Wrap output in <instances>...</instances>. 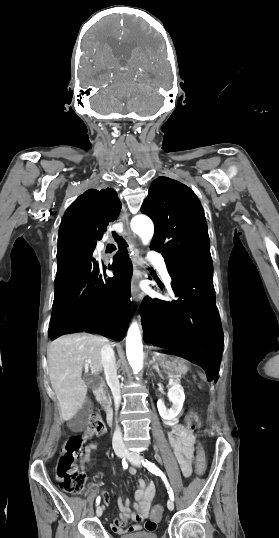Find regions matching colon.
Returning <instances> with one entry per match:
<instances>
[{
	"mask_svg": "<svg viewBox=\"0 0 279 538\" xmlns=\"http://www.w3.org/2000/svg\"><path fill=\"white\" fill-rule=\"evenodd\" d=\"M185 423L191 432L197 431L201 425L199 416L195 412H189L186 415ZM104 431L105 424L102 417L92 414L83 434L70 438L63 446L56 466V476L65 491L75 494L84 489L86 476L83 469L77 465V459L81 456L86 440L101 435ZM195 466L197 474L203 475L206 470V456L201 443H197L196 446ZM163 513L162 506H155L151 513L152 520L159 521Z\"/></svg>",
	"mask_w": 279,
	"mask_h": 538,
	"instance_id": "colon-1",
	"label": "colon"
}]
</instances>
